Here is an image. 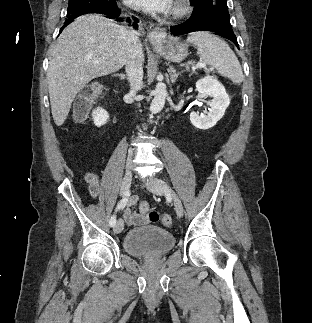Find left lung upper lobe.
<instances>
[{"instance_id":"obj_1","label":"left lung upper lobe","mask_w":312,"mask_h":323,"mask_svg":"<svg viewBox=\"0 0 312 323\" xmlns=\"http://www.w3.org/2000/svg\"><path fill=\"white\" fill-rule=\"evenodd\" d=\"M194 9L190 21L201 19L204 15L211 13H226L228 12L227 0H190Z\"/></svg>"}]
</instances>
